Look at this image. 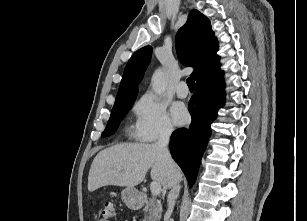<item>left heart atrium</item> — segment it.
Masks as SVG:
<instances>
[{
    "label": "left heart atrium",
    "instance_id": "1",
    "mask_svg": "<svg viewBox=\"0 0 307 221\" xmlns=\"http://www.w3.org/2000/svg\"><path fill=\"white\" fill-rule=\"evenodd\" d=\"M173 121L177 125H183L187 122L189 115L185 106L181 103H175L171 108Z\"/></svg>",
    "mask_w": 307,
    "mask_h": 221
}]
</instances>
